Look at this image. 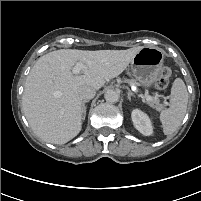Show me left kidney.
<instances>
[{
  "mask_svg": "<svg viewBox=\"0 0 201 201\" xmlns=\"http://www.w3.org/2000/svg\"><path fill=\"white\" fill-rule=\"evenodd\" d=\"M135 128L145 136L153 133V127L150 118L147 114L139 109H134L131 114Z\"/></svg>",
  "mask_w": 201,
  "mask_h": 201,
  "instance_id": "5707ae66",
  "label": "left kidney"
}]
</instances>
